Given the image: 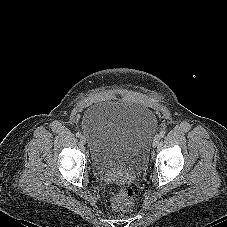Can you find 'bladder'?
Masks as SVG:
<instances>
[{
    "mask_svg": "<svg viewBox=\"0 0 227 227\" xmlns=\"http://www.w3.org/2000/svg\"><path fill=\"white\" fill-rule=\"evenodd\" d=\"M157 125L155 114L134 102L91 106L83 115L82 130L90 144L94 171L109 174L144 168Z\"/></svg>",
    "mask_w": 227,
    "mask_h": 227,
    "instance_id": "bladder-1",
    "label": "bladder"
}]
</instances>
